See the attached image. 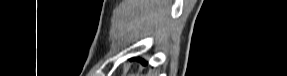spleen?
<instances>
[{
	"instance_id": "3e777b00",
	"label": "spleen",
	"mask_w": 287,
	"mask_h": 76,
	"mask_svg": "<svg viewBox=\"0 0 287 76\" xmlns=\"http://www.w3.org/2000/svg\"><path fill=\"white\" fill-rule=\"evenodd\" d=\"M130 76H135L134 74H130Z\"/></svg>"
}]
</instances>
